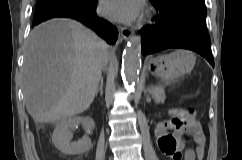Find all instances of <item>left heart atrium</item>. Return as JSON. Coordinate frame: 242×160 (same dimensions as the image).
I'll return each instance as SVG.
<instances>
[{
  "instance_id": "1",
  "label": "left heart atrium",
  "mask_w": 242,
  "mask_h": 160,
  "mask_svg": "<svg viewBox=\"0 0 242 160\" xmlns=\"http://www.w3.org/2000/svg\"><path fill=\"white\" fill-rule=\"evenodd\" d=\"M144 9L143 0H103L102 13L109 19L131 22L139 18Z\"/></svg>"
}]
</instances>
